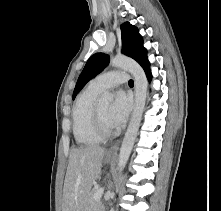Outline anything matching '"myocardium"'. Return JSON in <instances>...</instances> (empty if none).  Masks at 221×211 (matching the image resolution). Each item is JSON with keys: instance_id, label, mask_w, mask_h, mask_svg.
<instances>
[{"instance_id": "1", "label": "myocardium", "mask_w": 221, "mask_h": 211, "mask_svg": "<svg viewBox=\"0 0 221 211\" xmlns=\"http://www.w3.org/2000/svg\"><path fill=\"white\" fill-rule=\"evenodd\" d=\"M93 123L95 131L101 139L111 138L116 134L114 130L107 128L104 124L98 109V105L94 106Z\"/></svg>"}]
</instances>
